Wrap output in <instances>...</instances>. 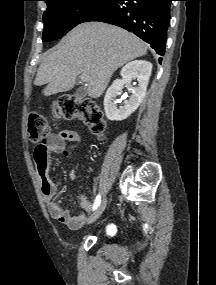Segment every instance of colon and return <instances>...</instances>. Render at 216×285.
Here are the masks:
<instances>
[{
    "instance_id": "colon-1",
    "label": "colon",
    "mask_w": 216,
    "mask_h": 285,
    "mask_svg": "<svg viewBox=\"0 0 216 285\" xmlns=\"http://www.w3.org/2000/svg\"><path fill=\"white\" fill-rule=\"evenodd\" d=\"M52 114L57 119H81L90 131L99 138L105 136L106 120L100 107L90 99H74L61 97L52 105ZM28 134L37 147L44 148L49 135L47 118L40 112L29 114Z\"/></svg>"
}]
</instances>
